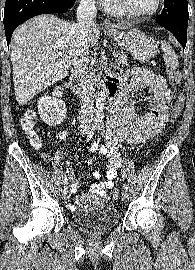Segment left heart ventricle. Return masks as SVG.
Segmentation results:
<instances>
[{
    "label": "left heart ventricle",
    "instance_id": "left-heart-ventricle-1",
    "mask_svg": "<svg viewBox=\"0 0 195 270\" xmlns=\"http://www.w3.org/2000/svg\"><path fill=\"white\" fill-rule=\"evenodd\" d=\"M157 0H128L130 6L139 12H146L153 9Z\"/></svg>",
    "mask_w": 195,
    "mask_h": 270
}]
</instances>
